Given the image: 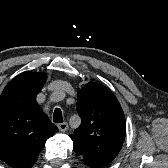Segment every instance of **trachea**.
<instances>
[{
	"label": "trachea",
	"mask_w": 168,
	"mask_h": 168,
	"mask_svg": "<svg viewBox=\"0 0 168 168\" xmlns=\"http://www.w3.org/2000/svg\"><path fill=\"white\" fill-rule=\"evenodd\" d=\"M53 121L55 123H62L63 122L62 111L59 108H56L54 111Z\"/></svg>",
	"instance_id": "1"
}]
</instances>
